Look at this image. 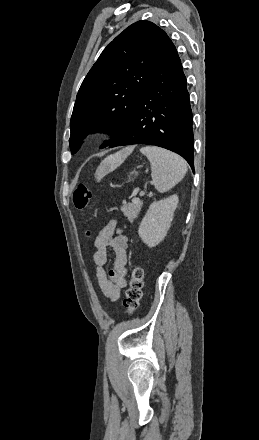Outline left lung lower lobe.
Returning a JSON list of instances; mask_svg holds the SVG:
<instances>
[{
  "mask_svg": "<svg viewBox=\"0 0 259 440\" xmlns=\"http://www.w3.org/2000/svg\"><path fill=\"white\" fill-rule=\"evenodd\" d=\"M155 145L181 155L194 171L192 111L177 50L167 39L149 83L110 148Z\"/></svg>",
  "mask_w": 259,
  "mask_h": 440,
  "instance_id": "left-lung-lower-lobe-1",
  "label": "left lung lower lobe"
}]
</instances>
